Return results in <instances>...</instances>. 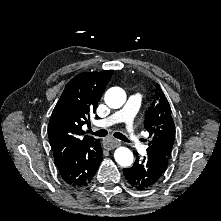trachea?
Listing matches in <instances>:
<instances>
[{
	"mask_svg": "<svg viewBox=\"0 0 221 221\" xmlns=\"http://www.w3.org/2000/svg\"><path fill=\"white\" fill-rule=\"evenodd\" d=\"M89 133L95 135V136H98V137H105L107 135V131L102 129V130H99L97 132H92V131H89ZM114 137L122 140V141H125V142H129V140L121 133L119 132H115L114 133Z\"/></svg>",
	"mask_w": 221,
	"mask_h": 221,
	"instance_id": "1",
	"label": "trachea"
}]
</instances>
